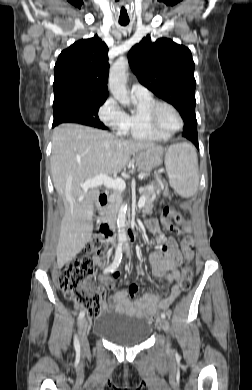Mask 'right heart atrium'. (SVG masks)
<instances>
[{
    "label": "right heart atrium",
    "mask_w": 252,
    "mask_h": 390,
    "mask_svg": "<svg viewBox=\"0 0 252 390\" xmlns=\"http://www.w3.org/2000/svg\"><path fill=\"white\" fill-rule=\"evenodd\" d=\"M100 120L119 135L126 130V114L120 108L117 101L109 97L101 105L98 112Z\"/></svg>",
    "instance_id": "1"
}]
</instances>
